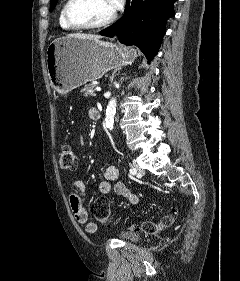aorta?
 Returning <instances> with one entry per match:
<instances>
[{
  "mask_svg": "<svg viewBox=\"0 0 240 281\" xmlns=\"http://www.w3.org/2000/svg\"><path fill=\"white\" fill-rule=\"evenodd\" d=\"M116 99H110L107 109H106V117H105V125L108 129L112 130L114 125V115L116 113Z\"/></svg>",
  "mask_w": 240,
  "mask_h": 281,
  "instance_id": "1",
  "label": "aorta"
}]
</instances>
